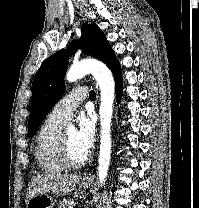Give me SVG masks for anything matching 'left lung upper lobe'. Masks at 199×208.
<instances>
[{
	"instance_id": "5c2ea615",
	"label": "left lung upper lobe",
	"mask_w": 199,
	"mask_h": 208,
	"mask_svg": "<svg viewBox=\"0 0 199 208\" xmlns=\"http://www.w3.org/2000/svg\"><path fill=\"white\" fill-rule=\"evenodd\" d=\"M82 36L70 43L67 49L59 51L42 63L33 79L31 110L28 134L34 136L47 113L65 92L64 76L68 58L81 48L84 54L97 57L111 68L118 60L103 31L95 24L84 23Z\"/></svg>"
}]
</instances>
